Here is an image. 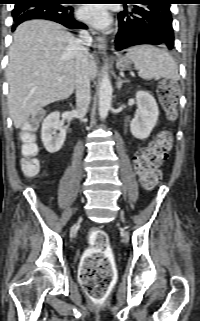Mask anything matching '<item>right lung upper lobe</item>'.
Segmentation results:
<instances>
[{"instance_id":"obj_1","label":"right lung upper lobe","mask_w":200,"mask_h":321,"mask_svg":"<svg viewBox=\"0 0 200 321\" xmlns=\"http://www.w3.org/2000/svg\"><path fill=\"white\" fill-rule=\"evenodd\" d=\"M14 1H15L16 5H19V4H23V3H26V2L31 1V0H14Z\"/></svg>"}]
</instances>
